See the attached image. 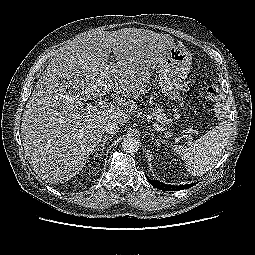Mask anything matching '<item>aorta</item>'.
Wrapping results in <instances>:
<instances>
[{
  "mask_svg": "<svg viewBox=\"0 0 255 255\" xmlns=\"http://www.w3.org/2000/svg\"><path fill=\"white\" fill-rule=\"evenodd\" d=\"M122 148L127 153H134L139 150V142L135 137L127 136L122 141Z\"/></svg>",
  "mask_w": 255,
  "mask_h": 255,
  "instance_id": "obj_1",
  "label": "aorta"
}]
</instances>
